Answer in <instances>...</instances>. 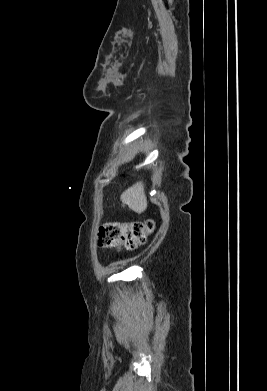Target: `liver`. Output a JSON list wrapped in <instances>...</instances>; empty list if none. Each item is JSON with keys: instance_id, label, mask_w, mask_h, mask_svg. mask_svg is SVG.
<instances>
[{"instance_id": "liver-1", "label": "liver", "mask_w": 267, "mask_h": 391, "mask_svg": "<svg viewBox=\"0 0 267 391\" xmlns=\"http://www.w3.org/2000/svg\"><path fill=\"white\" fill-rule=\"evenodd\" d=\"M123 204H127L136 213H143L147 209V198L142 182H137L121 195Z\"/></svg>"}]
</instances>
